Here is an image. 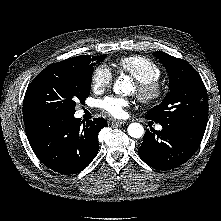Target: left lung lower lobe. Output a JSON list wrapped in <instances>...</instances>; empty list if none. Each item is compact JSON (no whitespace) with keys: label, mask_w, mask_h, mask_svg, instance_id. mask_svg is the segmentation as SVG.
<instances>
[{"label":"left lung lower lobe","mask_w":221,"mask_h":221,"mask_svg":"<svg viewBox=\"0 0 221 221\" xmlns=\"http://www.w3.org/2000/svg\"><path fill=\"white\" fill-rule=\"evenodd\" d=\"M204 132L192 127L162 125L161 131L145 132L138 154L154 169H173L191 158Z\"/></svg>","instance_id":"1"}]
</instances>
